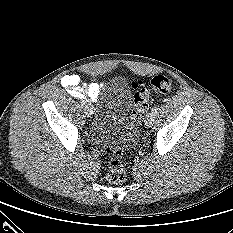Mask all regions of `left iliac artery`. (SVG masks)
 <instances>
[{
    "label": "left iliac artery",
    "mask_w": 233,
    "mask_h": 233,
    "mask_svg": "<svg viewBox=\"0 0 233 233\" xmlns=\"http://www.w3.org/2000/svg\"><path fill=\"white\" fill-rule=\"evenodd\" d=\"M158 110H159L158 107H153V108L151 109V112L155 114V113L158 112Z\"/></svg>",
    "instance_id": "44dca946"
}]
</instances>
